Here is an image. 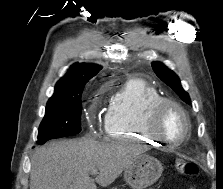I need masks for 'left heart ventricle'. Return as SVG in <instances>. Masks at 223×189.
Returning <instances> with one entry per match:
<instances>
[{
    "mask_svg": "<svg viewBox=\"0 0 223 189\" xmlns=\"http://www.w3.org/2000/svg\"><path fill=\"white\" fill-rule=\"evenodd\" d=\"M185 123L183 117L174 107H167L161 115L159 130L169 142H176L184 135Z\"/></svg>",
    "mask_w": 223,
    "mask_h": 189,
    "instance_id": "obj_1",
    "label": "left heart ventricle"
}]
</instances>
